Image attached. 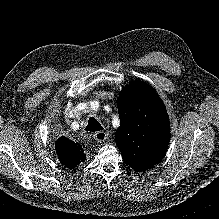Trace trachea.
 Returning a JSON list of instances; mask_svg holds the SVG:
<instances>
[{"instance_id":"trachea-1","label":"trachea","mask_w":219,"mask_h":219,"mask_svg":"<svg viewBox=\"0 0 219 219\" xmlns=\"http://www.w3.org/2000/svg\"><path fill=\"white\" fill-rule=\"evenodd\" d=\"M85 130L95 132L103 130V127L96 118L90 117L88 120V124L85 127Z\"/></svg>"}]
</instances>
